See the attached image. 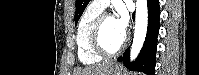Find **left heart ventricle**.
Listing matches in <instances>:
<instances>
[{"mask_svg":"<svg viewBox=\"0 0 199 75\" xmlns=\"http://www.w3.org/2000/svg\"><path fill=\"white\" fill-rule=\"evenodd\" d=\"M123 38L124 35L117 29L114 18H107L101 29V42L103 46L108 50H113L121 44Z\"/></svg>","mask_w":199,"mask_h":75,"instance_id":"left-heart-ventricle-1","label":"left heart ventricle"}]
</instances>
